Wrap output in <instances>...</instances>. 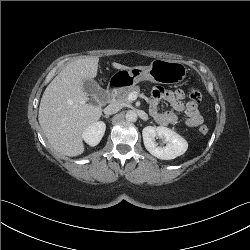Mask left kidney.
Segmentation results:
<instances>
[{"mask_svg": "<svg viewBox=\"0 0 250 250\" xmlns=\"http://www.w3.org/2000/svg\"><path fill=\"white\" fill-rule=\"evenodd\" d=\"M145 148L150 154L161 160H172L184 154L188 148L187 141L167 127L147 126L142 131ZM161 139L160 144L156 139Z\"/></svg>", "mask_w": 250, "mask_h": 250, "instance_id": "obj_1", "label": "left kidney"}]
</instances>
